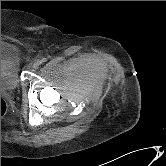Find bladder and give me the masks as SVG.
<instances>
[{"mask_svg": "<svg viewBox=\"0 0 166 166\" xmlns=\"http://www.w3.org/2000/svg\"><path fill=\"white\" fill-rule=\"evenodd\" d=\"M20 84V57L17 46L1 40V92L13 91Z\"/></svg>", "mask_w": 166, "mask_h": 166, "instance_id": "obj_1", "label": "bladder"}]
</instances>
